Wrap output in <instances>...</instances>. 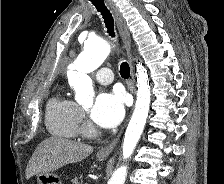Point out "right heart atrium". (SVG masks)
Instances as JSON below:
<instances>
[{
    "mask_svg": "<svg viewBox=\"0 0 224 184\" xmlns=\"http://www.w3.org/2000/svg\"><path fill=\"white\" fill-rule=\"evenodd\" d=\"M83 117V114L81 113V118Z\"/></svg>",
    "mask_w": 224,
    "mask_h": 184,
    "instance_id": "obj_1",
    "label": "right heart atrium"
}]
</instances>
